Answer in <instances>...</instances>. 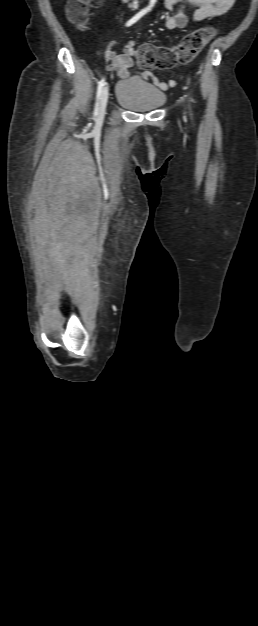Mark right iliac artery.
Instances as JSON below:
<instances>
[{"instance_id":"82829eb1","label":"right iliac artery","mask_w":258,"mask_h":626,"mask_svg":"<svg viewBox=\"0 0 258 626\" xmlns=\"http://www.w3.org/2000/svg\"><path fill=\"white\" fill-rule=\"evenodd\" d=\"M145 13H146V10H142L139 13H137L135 16H133L130 20L126 22V26H131L132 24H134L137 20H139L142 16H144ZM104 85H105V78H102L98 82L94 116H97L98 111H99V99L101 97Z\"/></svg>"}]
</instances>
